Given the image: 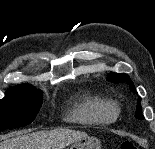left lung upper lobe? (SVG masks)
Instances as JSON below:
<instances>
[{
    "instance_id": "obj_1",
    "label": "left lung upper lobe",
    "mask_w": 155,
    "mask_h": 149,
    "mask_svg": "<svg viewBox=\"0 0 155 149\" xmlns=\"http://www.w3.org/2000/svg\"><path fill=\"white\" fill-rule=\"evenodd\" d=\"M107 80H109L110 82H113V83H119V82H126L128 85H129V88L132 92L134 93H137L136 89H135V86L133 84V82L131 81L130 77L125 74V73H122V74H117V73H110L107 77ZM140 98L138 99V104L136 106V114H135V117L137 119H144V116L142 114V108H141V104H140Z\"/></svg>"
}]
</instances>
